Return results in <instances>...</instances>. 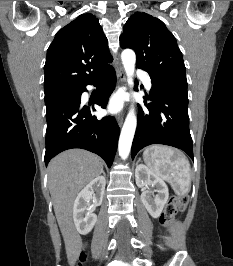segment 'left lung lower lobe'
Masks as SVG:
<instances>
[{
    "mask_svg": "<svg viewBox=\"0 0 233 266\" xmlns=\"http://www.w3.org/2000/svg\"><path fill=\"white\" fill-rule=\"evenodd\" d=\"M152 80L151 103L140 109L131 155L151 144H164L185 151L193 160V143L189 131L187 80L166 76Z\"/></svg>",
    "mask_w": 233,
    "mask_h": 266,
    "instance_id": "obj_1",
    "label": "left lung lower lobe"
}]
</instances>
